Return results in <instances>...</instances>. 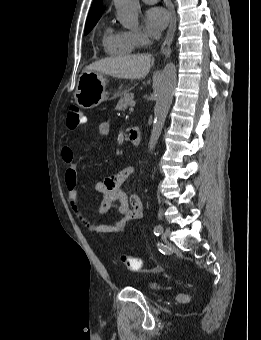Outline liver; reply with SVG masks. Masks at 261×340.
<instances>
[{
    "label": "liver",
    "mask_w": 261,
    "mask_h": 340,
    "mask_svg": "<svg viewBox=\"0 0 261 340\" xmlns=\"http://www.w3.org/2000/svg\"><path fill=\"white\" fill-rule=\"evenodd\" d=\"M150 55L138 54L123 57H107L85 67L84 71H95L121 79H140L150 71Z\"/></svg>",
    "instance_id": "1"
}]
</instances>
